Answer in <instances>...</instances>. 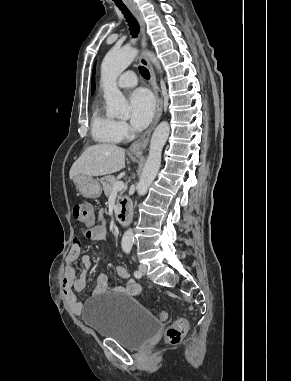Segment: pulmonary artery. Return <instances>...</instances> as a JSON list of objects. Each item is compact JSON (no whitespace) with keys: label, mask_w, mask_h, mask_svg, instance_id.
Instances as JSON below:
<instances>
[{"label":"pulmonary artery","mask_w":291,"mask_h":381,"mask_svg":"<svg viewBox=\"0 0 291 381\" xmlns=\"http://www.w3.org/2000/svg\"><path fill=\"white\" fill-rule=\"evenodd\" d=\"M121 88H131L137 85V77L133 71L124 72L118 79Z\"/></svg>","instance_id":"e3ab8cb5"}]
</instances>
